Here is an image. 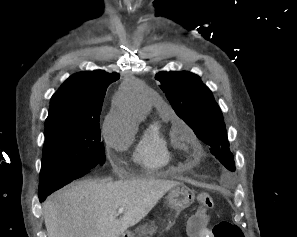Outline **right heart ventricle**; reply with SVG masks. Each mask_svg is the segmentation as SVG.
I'll return each instance as SVG.
<instances>
[{
  "instance_id": "1",
  "label": "right heart ventricle",
  "mask_w": 297,
  "mask_h": 237,
  "mask_svg": "<svg viewBox=\"0 0 297 237\" xmlns=\"http://www.w3.org/2000/svg\"><path fill=\"white\" fill-rule=\"evenodd\" d=\"M176 150L163 132V125L155 120L147 125L135 146L134 159L147 170H157L167 166L174 158Z\"/></svg>"
}]
</instances>
